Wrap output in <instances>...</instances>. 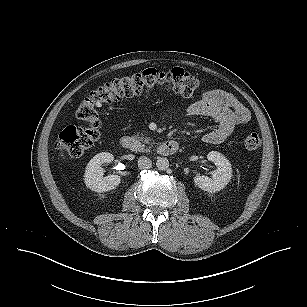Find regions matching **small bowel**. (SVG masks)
<instances>
[{
    "label": "small bowel",
    "instance_id": "obj_1",
    "mask_svg": "<svg viewBox=\"0 0 307 307\" xmlns=\"http://www.w3.org/2000/svg\"><path fill=\"white\" fill-rule=\"evenodd\" d=\"M187 114L207 117L215 123V127L203 135V141L208 144L223 142L237 126L250 119L249 110L233 94L220 89L204 91L189 105Z\"/></svg>",
    "mask_w": 307,
    "mask_h": 307
}]
</instances>
